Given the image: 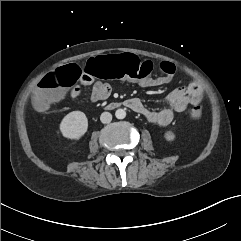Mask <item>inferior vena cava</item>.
I'll list each match as a JSON object with an SVG mask.
<instances>
[{
	"mask_svg": "<svg viewBox=\"0 0 241 241\" xmlns=\"http://www.w3.org/2000/svg\"><path fill=\"white\" fill-rule=\"evenodd\" d=\"M112 120V114L109 112H103L100 116V121L104 124L110 123Z\"/></svg>",
	"mask_w": 241,
	"mask_h": 241,
	"instance_id": "1",
	"label": "inferior vena cava"
}]
</instances>
